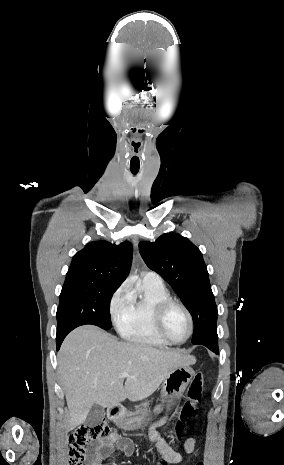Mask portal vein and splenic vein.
Instances as JSON below:
<instances>
[{
	"label": "portal vein and splenic vein",
	"mask_w": 284,
	"mask_h": 465,
	"mask_svg": "<svg viewBox=\"0 0 284 465\" xmlns=\"http://www.w3.org/2000/svg\"><path fill=\"white\" fill-rule=\"evenodd\" d=\"M121 377H129L128 371H124V373H122Z\"/></svg>",
	"instance_id": "18ae733b"
}]
</instances>
